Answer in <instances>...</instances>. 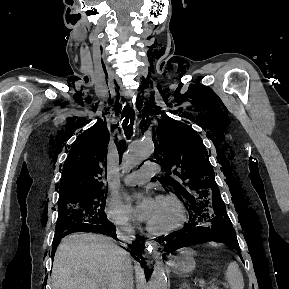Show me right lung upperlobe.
Here are the masks:
<instances>
[{"label":"right lung upper lobe","instance_id":"cb5924a9","mask_svg":"<svg viewBox=\"0 0 289 289\" xmlns=\"http://www.w3.org/2000/svg\"><path fill=\"white\" fill-rule=\"evenodd\" d=\"M108 143L103 121H98L76 139L64 163L61 182L56 186L60 197L106 188Z\"/></svg>","mask_w":289,"mask_h":289}]
</instances>
